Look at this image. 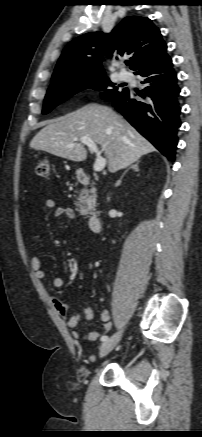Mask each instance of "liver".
Returning <instances> with one entry per match:
<instances>
[{
	"instance_id": "6515ba94",
	"label": "liver",
	"mask_w": 202,
	"mask_h": 437,
	"mask_svg": "<svg viewBox=\"0 0 202 437\" xmlns=\"http://www.w3.org/2000/svg\"><path fill=\"white\" fill-rule=\"evenodd\" d=\"M87 137L99 144L108 170L115 173L155 151L154 146L110 107L88 104L77 111L50 120L31 140L30 147L74 162L86 160L79 143ZM73 144V147H69Z\"/></svg>"
}]
</instances>
